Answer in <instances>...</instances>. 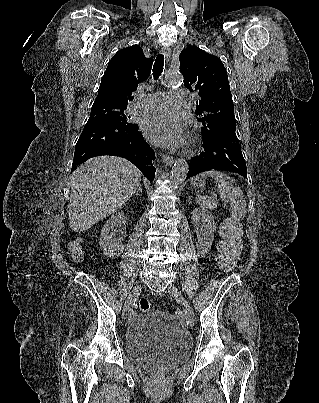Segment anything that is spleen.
Instances as JSON below:
<instances>
[{
	"instance_id": "3e777b00",
	"label": "spleen",
	"mask_w": 319,
	"mask_h": 403,
	"mask_svg": "<svg viewBox=\"0 0 319 403\" xmlns=\"http://www.w3.org/2000/svg\"><path fill=\"white\" fill-rule=\"evenodd\" d=\"M207 177L214 178L220 198L230 204L231 218L234 221L242 220L246 215V200L237 183L225 173L219 171L203 172L194 178V183ZM194 183L192 184L196 187ZM196 202L203 209H214L217 206L213 198L200 194L196 195Z\"/></svg>"
}]
</instances>
